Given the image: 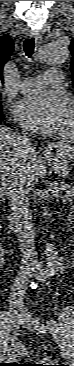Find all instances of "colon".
I'll return each mask as SVG.
<instances>
[{
  "mask_svg": "<svg viewBox=\"0 0 74 366\" xmlns=\"http://www.w3.org/2000/svg\"><path fill=\"white\" fill-rule=\"evenodd\" d=\"M28 366H49V365L44 363V361H41V362L35 363V364H28Z\"/></svg>",
  "mask_w": 74,
  "mask_h": 366,
  "instance_id": "colon-1",
  "label": "colon"
}]
</instances>
